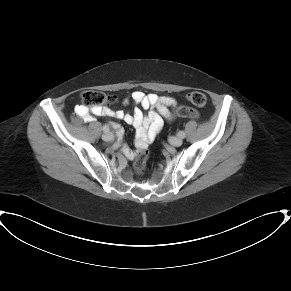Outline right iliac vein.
Listing matches in <instances>:
<instances>
[{
  "instance_id": "1",
  "label": "right iliac vein",
  "mask_w": 291,
  "mask_h": 291,
  "mask_svg": "<svg viewBox=\"0 0 291 291\" xmlns=\"http://www.w3.org/2000/svg\"><path fill=\"white\" fill-rule=\"evenodd\" d=\"M104 141H112L114 140V135L110 132H106L102 135Z\"/></svg>"
}]
</instances>
